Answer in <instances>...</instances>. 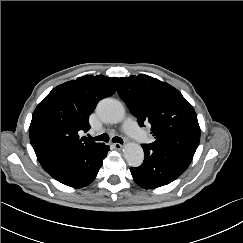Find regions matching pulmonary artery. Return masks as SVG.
I'll return each mask as SVG.
<instances>
[{
	"instance_id": "e3ab8cb5",
	"label": "pulmonary artery",
	"mask_w": 243,
	"mask_h": 243,
	"mask_svg": "<svg viewBox=\"0 0 243 243\" xmlns=\"http://www.w3.org/2000/svg\"><path fill=\"white\" fill-rule=\"evenodd\" d=\"M122 130L133 140L139 141L144 137V133L138 127L137 123L132 117H127L125 122L122 125Z\"/></svg>"
}]
</instances>
